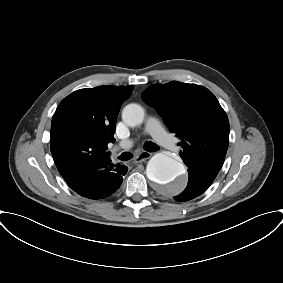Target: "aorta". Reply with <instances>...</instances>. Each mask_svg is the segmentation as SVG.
<instances>
[{
    "instance_id": "aorta-1",
    "label": "aorta",
    "mask_w": 283,
    "mask_h": 283,
    "mask_svg": "<svg viewBox=\"0 0 283 283\" xmlns=\"http://www.w3.org/2000/svg\"><path fill=\"white\" fill-rule=\"evenodd\" d=\"M143 119L144 109L140 105L128 104L124 107L122 120L128 126H137ZM146 174L149 180L170 194H179L186 186L183 164L164 153H157L149 160Z\"/></svg>"
}]
</instances>
